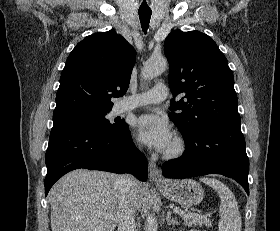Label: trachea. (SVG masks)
<instances>
[{
    "mask_svg": "<svg viewBox=\"0 0 280 231\" xmlns=\"http://www.w3.org/2000/svg\"><path fill=\"white\" fill-rule=\"evenodd\" d=\"M141 27L144 32L147 31L149 27L150 17L152 15L151 10H138Z\"/></svg>",
    "mask_w": 280,
    "mask_h": 231,
    "instance_id": "3493384b",
    "label": "trachea"
}]
</instances>
